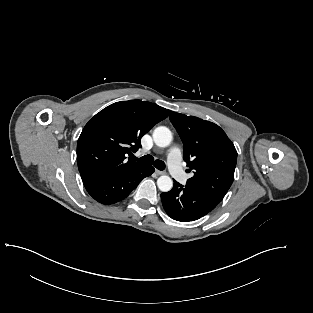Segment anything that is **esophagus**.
<instances>
[{
    "label": "esophagus",
    "instance_id": "34e87169",
    "mask_svg": "<svg viewBox=\"0 0 313 313\" xmlns=\"http://www.w3.org/2000/svg\"><path fill=\"white\" fill-rule=\"evenodd\" d=\"M155 173H156L157 175H164V174H166L165 171H160V170H155Z\"/></svg>",
    "mask_w": 313,
    "mask_h": 313
}]
</instances>
